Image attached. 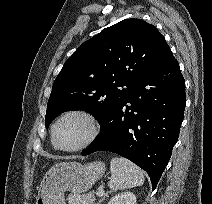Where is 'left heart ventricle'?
I'll return each mask as SVG.
<instances>
[{
    "instance_id": "obj_1",
    "label": "left heart ventricle",
    "mask_w": 212,
    "mask_h": 204,
    "mask_svg": "<svg viewBox=\"0 0 212 204\" xmlns=\"http://www.w3.org/2000/svg\"><path fill=\"white\" fill-rule=\"evenodd\" d=\"M88 133V127L84 120L71 116L62 120L55 130L57 143L65 148L80 144Z\"/></svg>"
}]
</instances>
